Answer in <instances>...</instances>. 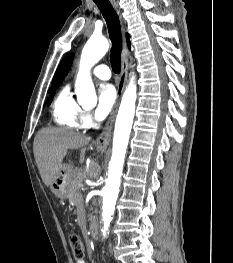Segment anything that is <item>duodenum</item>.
<instances>
[{
	"label": "duodenum",
	"mask_w": 233,
	"mask_h": 263,
	"mask_svg": "<svg viewBox=\"0 0 233 263\" xmlns=\"http://www.w3.org/2000/svg\"><path fill=\"white\" fill-rule=\"evenodd\" d=\"M89 232L91 234L92 237H96L98 234V223L96 220H92L89 223Z\"/></svg>",
	"instance_id": "1"
}]
</instances>
